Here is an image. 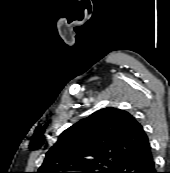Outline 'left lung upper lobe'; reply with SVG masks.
Wrapping results in <instances>:
<instances>
[{"instance_id": "left-lung-upper-lobe-1", "label": "left lung upper lobe", "mask_w": 170, "mask_h": 173, "mask_svg": "<svg viewBox=\"0 0 170 173\" xmlns=\"http://www.w3.org/2000/svg\"><path fill=\"white\" fill-rule=\"evenodd\" d=\"M149 145L130 113L108 107L62 132L37 173H114L125 159Z\"/></svg>"}]
</instances>
